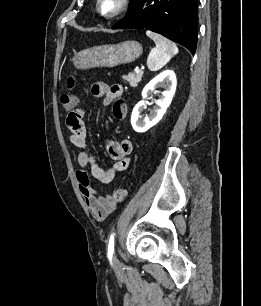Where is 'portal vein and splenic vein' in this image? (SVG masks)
Listing matches in <instances>:
<instances>
[{"instance_id": "portal-vein-and-splenic-vein-1", "label": "portal vein and splenic vein", "mask_w": 261, "mask_h": 306, "mask_svg": "<svg viewBox=\"0 0 261 306\" xmlns=\"http://www.w3.org/2000/svg\"><path fill=\"white\" fill-rule=\"evenodd\" d=\"M135 72H136V73H139V72H141V69H140V68H136V69H135Z\"/></svg>"}]
</instances>
